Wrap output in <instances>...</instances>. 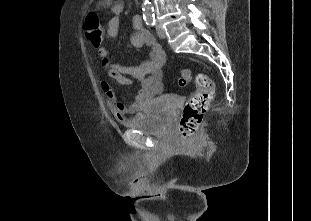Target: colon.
I'll return each mask as SVG.
<instances>
[{"label":"colon","mask_w":311,"mask_h":221,"mask_svg":"<svg viewBox=\"0 0 311 221\" xmlns=\"http://www.w3.org/2000/svg\"><path fill=\"white\" fill-rule=\"evenodd\" d=\"M84 38L89 39L91 45L98 49L103 38V26L98 23L97 17L88 13L86 16ZM190 71L182 70L178 78L180 86L188 85ZM214 96V84L207 75L200 74L196 78V91L185 101L181 117L178 121V130L181 141H192L193 133L202 123L204 115L209 110Z\"/></svg>","instance_id":"1"}]
</instances>
